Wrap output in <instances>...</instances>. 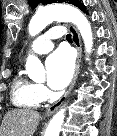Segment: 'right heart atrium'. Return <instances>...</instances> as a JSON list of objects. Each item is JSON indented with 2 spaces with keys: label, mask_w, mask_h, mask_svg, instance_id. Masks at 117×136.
<instances>
[{
  "label": "right heart atrium",
  "mask_w": 117,
  "mask_h": 136,
  "mask_svg": "<svg viewBox=\"0 0 117 136\" xmlns=\"http://www.w3.org/2000/svg\"><path fill=\"white\" fill-rule=\"evenodd\" d=\"M38 92L42 98V100L48 97V90L43 85H37Z\"/></svg>",
  "instance_id": "1"
}]
</instances>
